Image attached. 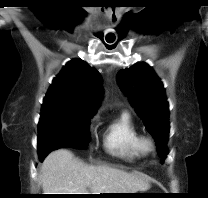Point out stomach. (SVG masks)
<instances>
[{
  "instance_id": "1",
  "label": "stomach",
  "mask_w": 208,
  "mask_h": 198,
  "mask_svg": "<svg viewBox=\"0 0 208 198\" xmlns=\"http://www.w3.org/2000/svg\"><path fill=\"white\" fill-rule=\"evenodd\" d=\"M137 193V192H136ZM128 197H136V196H128Z\"/></svg>"
}]
</instances>
